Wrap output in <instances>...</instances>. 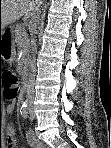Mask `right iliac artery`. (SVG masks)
Wrapping results in <instances>:
<instances>
[{"instance_id": "1", "label": "right iliac artery", "mask_w": 111, "mask_h": 148, "mask_svg": "<svg viewBox=\"0 0 111 148\" xmlns=\"http://www.w3.org/2000/svg\"><path fill=\"white\" fill-rule=\"evenodd\" d=\"M21 115L24 118H27L29 115V108H28V104L26 102L23 103L21 109H20Z\"/></svg>"}]
</instances>
